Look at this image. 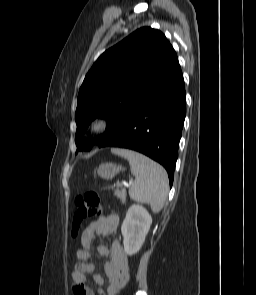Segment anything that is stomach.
<instances>
[{
  "instance_id": "0dacf381",
  "label": "stomach",
  "mask_w": 256,
  "mask_h": 295,
  "mask_svg": "<svg viewBox=\"0 0 256 295\" xmlns=\"http://www.w3.org/2000/svg\"><path fill=\"white\" fill-rule=\"evenodd\" d=\"M124 170L122 166L116 165L114 163H102L97 169V174L103 179L109 180L112 179L120 171Z\"/></svg>"
}]
</instances>
